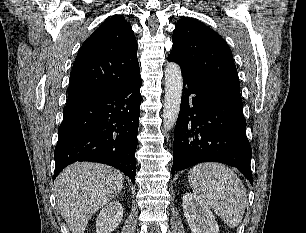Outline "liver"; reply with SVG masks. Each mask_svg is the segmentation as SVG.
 <instances>
[{"label": "liver", "mask_w": 306, "mask_h": 233, "mask_svg": "<svg viewBox=\"0 0 306 233\" xmlns=\"http://www.w3.org/2000/svg\"><path fill=\"white\" fill-rule=\"evenodd\" d=\"M123 174L104 164L77 162L55 185L56 204L72 233H84L91 217L123 188Z\"/></svg>", "instance_id": "6515ba94"}]
</instances>
